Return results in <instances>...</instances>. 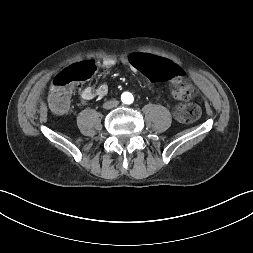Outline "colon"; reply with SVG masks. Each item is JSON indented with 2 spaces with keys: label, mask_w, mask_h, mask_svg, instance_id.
<instances>
[{
  "label": "colon",
  "mask_w": 253,
  "mask_h": 253,
  "mask_svg": "<svg viewBox=\"0 0 253 253\" xmlns=\"http://www.w3.org/2000/svg\"><path fill=\"white\" fill-rule=\"evenodd\" d=\"M133 67L148 78L162 82L176 83L173 95L179 100H188L194 94V88L181 81L184 70L174 61L156 58L147 53H133L129 57ZM96 65L92 61H83L70 66L59 73L53 80L50 92L52 107L58 112H64L69 106L70 88L73 84L89 79L95 72ZM201 115V109L193 103L178 106L175 116L182 123L196 121Z\"/></svg>",
  "instance_id": "1"
}]
</instances>
